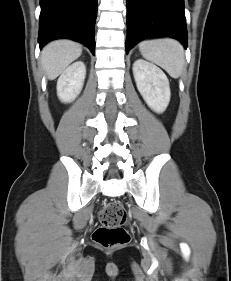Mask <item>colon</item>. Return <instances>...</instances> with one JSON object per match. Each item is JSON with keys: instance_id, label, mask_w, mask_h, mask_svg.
I'll return each instance as SVG.
<instances>
[{"instance_id": "obj_1", "label": "colon", "mask_w": 231, "mask_h": 281, "mask_svg": "<svg viewBox=\"0 0 231 281\" xmlns=\"http://www.w3.org/2000/svg\"><path fill=\"white\" fill-rule=\"evenodd\" d=\"M126 212L118 202L107 203L101 210V225L93 233V240L104 248H117L129 241L128 232L122 227Z\"/></svg>"}]
</instances>
